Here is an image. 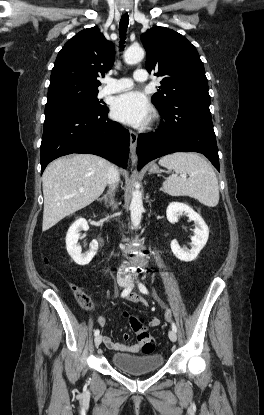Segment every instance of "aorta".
Here are the masks:
<instances>
[{
	"label": "aorta",
	"instance_id": "aorta-1",
	"mask_svg": "<svg viewBox=\"0 0 264 415\" xmlns=\"http://www.w3.org/2000/svg\"><path fill=\"white\" fill-rule=\"evenodd\" d=\"M144 58V50L139 46L129 47L125 54L124 59L127 64H136ZM137 187V184H136ZM143 212L142 193L140 190L135 189L132 192V198L130 203V215L133 226L137 227L140 224Z\"/></svg>",
	"mask_w": 264,
	"mask_h": 415
}]
</instances>
